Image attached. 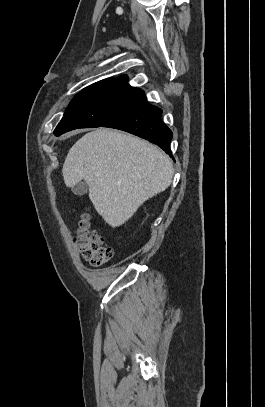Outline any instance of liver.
<instances>
[{
    "instance_id": "1",
    "label": "liver",
    "mask_w": 265,
    "mask_h": 407,
    "mask_svg": "<svg viewBox=\"0 0 265 407\" xmlns=\"http://www.w3.org/2000/svg\"><path fill=\"white\" fill-rule=\"evenodd\" d=\"M65 185L84 180L97 213L111 227L127 222L148 199L171 184L173 165L155 145L116 130L98 128L69 150Z\"/></svg>"
}]
</instances>
